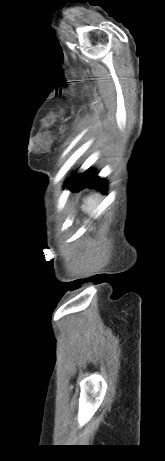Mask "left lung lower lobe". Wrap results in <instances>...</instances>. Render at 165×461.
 Returning a JSON list of instances; mask_svg holds the SVG:
<instances>
[{"label":"left lung lower lobe","instance_id":"1","mask_svg":"<svg viewBox=\"0 0 165 461\" xmlns=\"http://www.w3.org/2000/svg\"><path fill=\"white\" fill-rule=\"evenodd\" d=\"M66 185H69L72 191H78L85 187H95L98 190L106 192L107 183L104 179L97 176L94 170L88 169L74 179H68Z\"/></svg>","mask_w":165,"mask_h":461}]
</instances>
